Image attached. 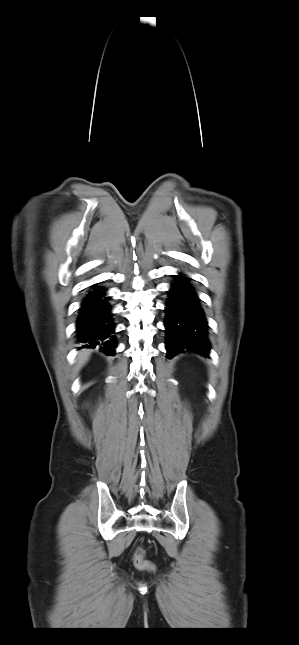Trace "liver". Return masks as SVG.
Here are the masks:
<instances>
[{
	"label": "liver",
	"mask_w": 299,
	"mask_h": 645,
	"mask_svg": "<svg viewBox=\"0 0 299 645\" xmlns=\"http://www.w3.org/2000/svg\"><path fill=\"white\" fill-rule=\"evenodd\" d=\"M88 358H89V352L83 351V352L79 353V355L77 357L78 365L80 367L83 366L87 362Z\"/></svg>",
	"instance_id": "6515ba94"
}]
</instances>
